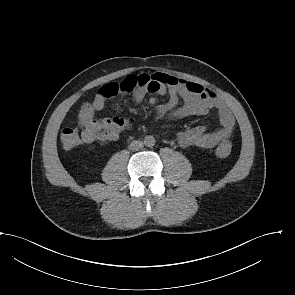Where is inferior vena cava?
I'll return each mask as SVG.
<instances>
[{"mask_svg":"<svg viewBox=\"0 0 295 295\" xmlns=\"http://www.w3.org/2000/svg\"><path fill=\"white\" fill-rule=\"evenodd\" d=\"M143 148V142L141 141H132L129 145V150L131 151H139Z\"/></svg>","mask_w":295,"mask_h":295,"instance_id":"inferior-vena-cava-1","label":"inferior vena cava"}]
</instances>
